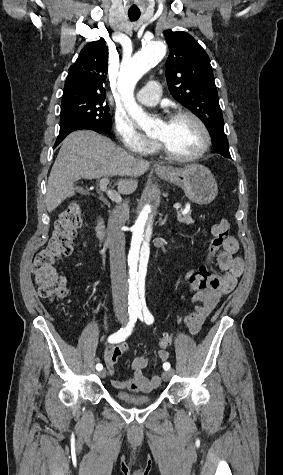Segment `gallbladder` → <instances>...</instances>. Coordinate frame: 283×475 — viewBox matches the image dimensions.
Instances as JSON below:
<instances>
[{"label": "gallbladder", "instance_id": "gallbladder-1", "mask_svg": "<svg viewBox=\"0 0 283 475\" xmlns=\"http://www.w3.org/2000/svg\"><path fill=\"white\" fill-rule=\"evenodd\" d=\"M78 192H80V194H86V190H82V188H79Z\"/></svg>", "mask_w": 283, "mask_h": 475}]
</instances>
